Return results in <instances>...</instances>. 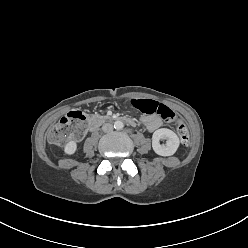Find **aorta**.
<instances>
[{"label": "aorta", "instance_id": "1", "mask_svg": "<svg viewBox=\"0 0 248 248\" xmlns=\"http://www.w3.org/2000/svg\"><path fill=\"white\" fill-rule=\"evenodd\" d=\"M124 127V123L120 120L114 122V128L117 130H121Z\"/></svg>", "mask_w": 248, "mask_h": 248}]
</instances>
